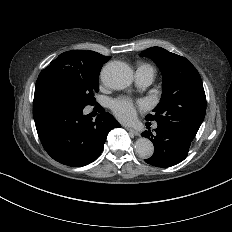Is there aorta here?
I'll use <instances>...</instances> for the list:
<instances>
[{"label": "aorta", "mask_w": 232, "mask_h": 232, "mask_svg": "<svg viewBox=\"0 0 232 232\" xmlns=\"http://www.w3.org/2000/svg\"><path fill=\"white\" fill-rule=\"evenodd\" d=\"M101 80L108 88L121 90L130 86L133 81V72L125 63L111 61L104 66L101 72ZM135 149L142 158H150L154 153L153 143L145 137L136 141Z\"/></svg>", "instance_id": "aorta-1"}]
</instances>
